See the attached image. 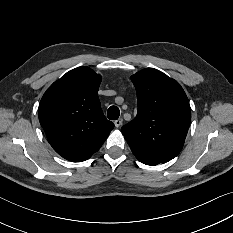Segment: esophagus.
<instances>
[{
	"mask_svg": "<svg viewBox=\"0 0 233 233\" xmlns=\"http://www.w3.org/2000/svg\"><path fill=\"white\" fill-rule=\"evenodd\" d=\"M123 119L119 118L118 120H115L114 124L118 128L122 124Z\"/></svg>",
	"mask_w": 233,
	"mask_h": 233,
	"instance_id": "esophagus-1",
	"label": "esophagus"
}]
</instances>
